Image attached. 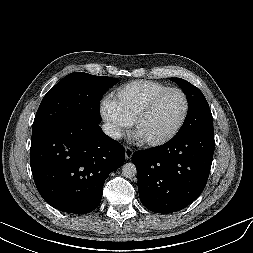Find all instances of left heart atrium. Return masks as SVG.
<instances>
[{
	"mask_svg": "<svg viewBox=\"0 0 253 253\" xmlns=\"http://www.w3.org/2000/svg\"><path fill=\"white\" fill-rule=\"evenodd\" d=\"M136 139L138 140V141H141L142 139L141 138H139L138 136L136 137Z\"/></svg>",
	"mask_w": 253,
	"mask_h": 253,
	"instance_id": "obj_1",
	"label": "left heart atrium"
}]
</instances>
